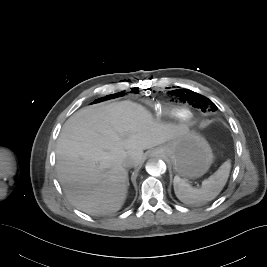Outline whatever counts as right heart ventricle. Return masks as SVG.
<instances>
[{"instance_id": "1", "label": "right heart ventricle", "mask_w": 267, "mask_h": 267, "mask_svg": "<svg viewBox=\"0 0 267 267\" xmlns=\"http://www.w3.org/2000/svg\"><path fill=\"white\" fill-rule=\"evenodd\" d=\"M178 116L181 118V119H188L189 117H190V114H189V112L188 111H186V110H180L179 112H178Z\"/></svg>"}]
</instances>
